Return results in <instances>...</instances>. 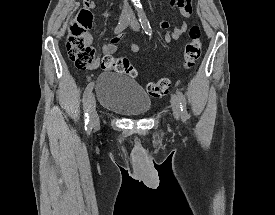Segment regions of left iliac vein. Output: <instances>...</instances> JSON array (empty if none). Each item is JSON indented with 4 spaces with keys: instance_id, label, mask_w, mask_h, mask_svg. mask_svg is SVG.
<instances>
[{
    "instance_id": "1",
    "label": "left iliac vein",
    "mask_w": 275,
    "mask_h": 215,
    "mask_svg": "<svg viewBox=\"0 0 275 215\" xmlns=\"http://www.w3.org/2000/svg\"><path fill=\"white\" fill-rule=\"evenodd\" d=\"M129 10L130 9L127 7L126 11L128 12ZM129 25L135 31L139 30V28H140L138 22L136 21V19L133 16L131 19L129 18ZM171 104H172V110H173V115H174L175 119H179L181 111H180V104H179V101H178V98L176 97V95H172Z\"/></svg>"
}]
</instances>
